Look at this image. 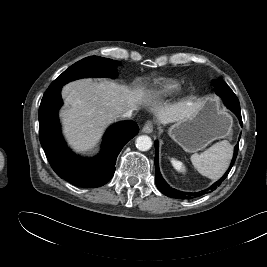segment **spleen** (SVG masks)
<instances>
[{
  "label": "spleen",
  "instance_id": "1",
  "mask_svg": "<svg viewBox=\"0 0 267 267\" xmlns=\"http://www.w3.org/2000/svg\"><path fill=\"white\" fill-rule=\"evenodd\" d=\"M233 155V146L227 141H219L201 154L191 155L195 169L203 176L217 180L229 167Z\"/></svg>",
  "mask_w": 267,
  "mask_h": 267
}]
</instances>
